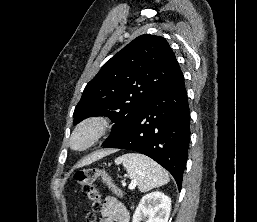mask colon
Instances as JSON below:
<instances>
[{"label":"colon","mask_w":257,"mask_h":222,"mask_svg":"<svg viewBox=\"0 0 257 222\" xmlns=\"http://www.w3.org/2000/svg\"><path fill=\"white\" fill-rule=\"evenodd\" d=\"M99 179L114 194L122 196V191L102 170L97 168H86L77 171L74 174V180L80 185L83 196L91 203V212L87 216L86 222H94L95 213L102 208L101 196L96 184Z\"/></svg>","instance_id":"1"}]
</instances>
